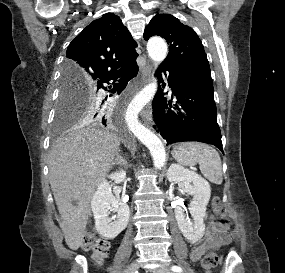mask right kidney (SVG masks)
I'll list each match as a JSON object with an SVG mask.
<instances>
[{"mask_svg": "<svg viewBox=\"0 0 285 273\" xmlns=\"http://www.w3.org/2000/svg\"><path fill=\"white\" fill-rule=\"evenodd\" d=\"M116 183L125 180V172H115L109 176ZM91 208L95 219V228L97 232L107 238L113 239L120 234L128 225L130 209L125 203L119 202L112 194L109 183L103 180L97 191L94 193L91 201ZM110 212L117 213L109 217Z\"/></svg>", "mask_w": 285, "mask_h": 273, "instance_id": "right-kidney-1", "label": "right kidney"}]
</instances>
